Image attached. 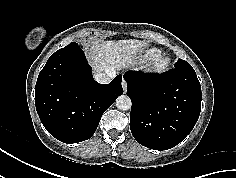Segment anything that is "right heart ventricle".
<instances>
[{"mask_svg": "<svg viewBox=\"0 0 236 178\" xmlns=\"http://www.w3.org/2000/svg\"><path fill=\"white\" fill-rule=\"evenodd\" d=\"M161 54L158 48H147L143 51L142 58L144 61H150Z\"/></svg>", "mask_w": 236, "mask_h": 178, "instance_id": "1", "label": "right heart ventricle"}]
</instances>
